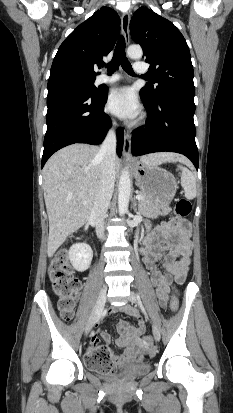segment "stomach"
Instances as JSON below:
<instances>
[{
    "mask_svg": "<svg viewBox=\"0 0 233 413\" xmlns=\"http://www.w3.org/2000/svg\"><path fill=\"white\" fill-rule=\"evenodd\" d=\"M133 173L142 193L163 205H169L177 190V181L170 172L159 166L136 162Z\"/></svg>",
    "mask_w": 233,
    "mask_h": 413,
    "instance_id": "1",
    "label": "stomach"
}]
</instances>
